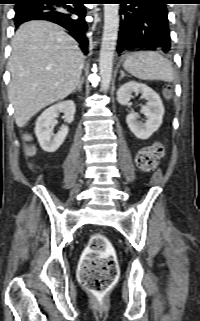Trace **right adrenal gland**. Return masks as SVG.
I'll list each match as a JSON object with an SVG mask.
<instances>
[{
  "mask_svg": "<svg viewBox=\"0 0 200 321\" xmlns=\"http://www.w3.org/2000/svg\"><path fill=\"white\" fill-rule=\"evenodd\" d=\"M83 78L79 81L77 87L75 88V90L73 91V93H75L76 91H82V85H83Z\"/></svg>",
  "mask_w": 200,
  "mask_h": 321,
  "instance_id": "obj_1",
  "label": "right adrenal gland"
}]
</instances>
